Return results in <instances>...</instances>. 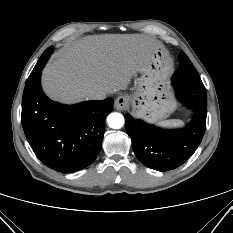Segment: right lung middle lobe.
<instances>
[{
	"instance_id": "1",
	"label": "right lung middle lobe",
	"mask_w": 233,
	"mask_h": 233,
	"mask_svg": "<svg viewBox=\"0 0 233 233\" xmlns=\"http://www.w3.org/2000/svg\"><path fill=\"white\" fill-rule=\"evenodd\" d=\"M53 47L52 46H50L49 48H47L45 51L46 52H49L50 54L53 52ZM40 62H39V60H38V62H37V64H36V66L34 67V69H33V71L31 72V74H30V76L29 77H32V76H34L35 75V71L37 70V66H38V64H39ZM28 77V78H29Z\"/></svg>"
}]
</instances>
